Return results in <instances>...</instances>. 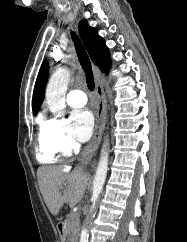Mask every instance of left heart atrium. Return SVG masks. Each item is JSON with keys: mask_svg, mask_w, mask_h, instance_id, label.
Listing matches in <instances>:
<instances>
[{"mask_svg": "<svg viewBox=\"0 0 187 242\" xmlns=\"http://www.w3.org/2000/svg\"><path fill=\"white\" fill-rule=\"evenodd\" d=\"M72 133L79 141H87L94 129V116L88 109H78L71 113Z\"/></svg>", "mask_w": 187, "mask_h": 242, "instance_id": "1", "label": "left heart atrium"}]
</instances>
